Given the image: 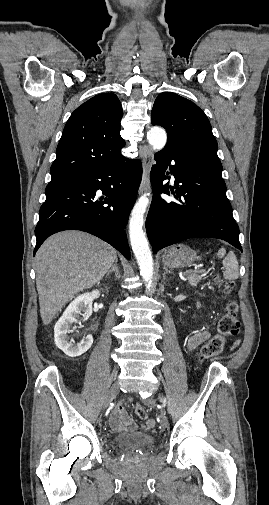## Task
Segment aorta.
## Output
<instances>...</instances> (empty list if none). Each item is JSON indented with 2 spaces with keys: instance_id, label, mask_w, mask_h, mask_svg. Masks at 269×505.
<instances>
[{
  "instance_id": "762f6f07",
  "label": "aorta",
  "mask_w": 269,
  "mask_h": 505,
  "mask_svg": "<svg viewBox=\"0 0 269 505\" xmlns=\"http://www.w3.org/2000/svg\"><path fill=\"white\" fill-rule=\"evenodd\" d=\"M147 139L153 150L159 151L166 145L167 134L163 128L154 126L149 131ZM147 195H142L132 209L129 221V235L132 250L139 265L140 275L146 282H150L153 278L154 266L149 243L143 231L144 214L150 204Z\"/></svg>"
}]
</instances>
